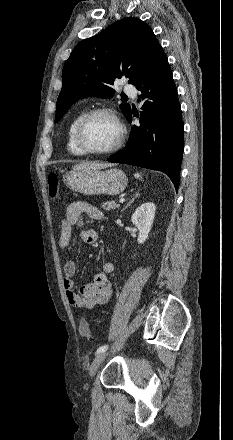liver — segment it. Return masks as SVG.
I'll list each match as a JSON object with an SVG mask.
<instances>
[{
  "label": "liver",
  "mask_w": 233,
  "mask_h": 440,
  "mask_svg": "<svg viewBox=\"0 0 233 440\" xmlns=\"http://www.w3.org/2000/svg\"><path fill=\"white\" fill-rule=\"evenodd\" d=\"M113 166V164L110 163H81V164H76L73 166L74 170H79V169H87V168H92V169H103V168H107V167H111Z\"/></svg>",
  "instance_id": "6515ba94"
}]
</instances>
